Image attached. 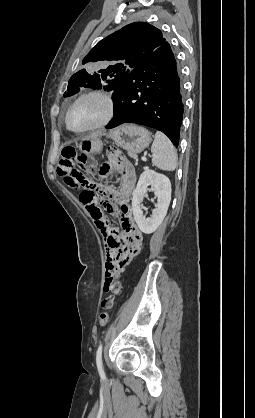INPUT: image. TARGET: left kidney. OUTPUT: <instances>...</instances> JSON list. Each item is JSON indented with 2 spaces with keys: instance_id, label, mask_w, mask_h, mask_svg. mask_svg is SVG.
I'll list each match as a JSON object with an SVG mask.
<instances>
[{
  "instance_id": "5707ae66",
  "label": "left kidney",
  "mask_w": 255,
  "mask_h": 418,
  "mask_svg": "<svg viewBox=\"0 0 255 418\" xmlns=\"http://www.w3.org/2000/svg\"><path fill=\"white\" fill-rule=\"evenodd\" d=\"M148 186H151L154 190L158 202L156 208L152 211V215L145 218L141 210V203L147 193ZM170 201L171 183L168 177L146 168L141 174L132 196L134 219L143 233L151 234L159 227L167 214Z\"/></svg>"
}]
</instances>
